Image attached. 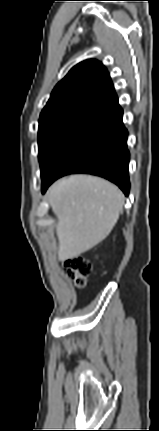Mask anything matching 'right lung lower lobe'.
<instances>
[{
    "label": "right lung lower lobe",
    "instance_id": "98d812e1",
    "mask_svg": "<svg viewBox=\"0 0 159 431\" xmlns=\"http://www.w3.org/2000/svg\"><path fill=\"white\" fill-rule=\"evenodd\" d=\"M122 117L123 110L117 106L71 132L41 172L42 193L61 176L89 173L110 180L128 196L130 154Z\"/></svg>",
    "mask_w": 159,
    "mask_h": 431
}]
</instances>
